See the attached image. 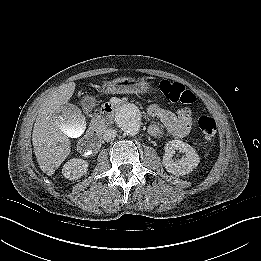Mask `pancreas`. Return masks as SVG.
Listing matches in <instances>:
<instances>
[{
  "mask_svg": "<svg viewBox=\"0 0 261 261\" xmlns=\"http://www.w3.org/2000/svg\"><path fill=\"white\" fill-rule=\"evenodd\" d=\"M94 126H95L96 130L99 131V132H103L106 129V127H107L104 119L98 120L94 124Z\"/></svg>",
  "mask_w": 261,
  "mask_h": 261,
  "instance_id": "1",
  "label": "pancreas"
}]
</instances>
